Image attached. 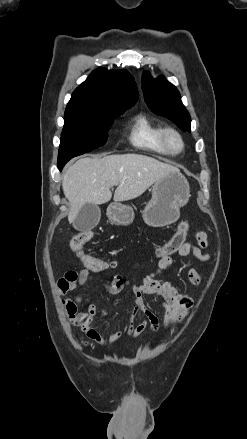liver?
<instances>
[{
  "instance_id": "1",
  "label": "liver",
  "mask_w": 247,
  "mask_h": 439,
  "mask_svg": "<svg viewBox=\"0 0 247 439\" xmlns=\"http://www.w3.org/2000/svg\"><path fill=\"white\" fill-rule=\"evenodd\" d=\"M179 169L141 154L86 157L76 161L63 176L62 188L70 203L68 221L72 223L86 203L104 204L127 201L142 195L156 181Z\"/></svg>"
}]
</instances>
